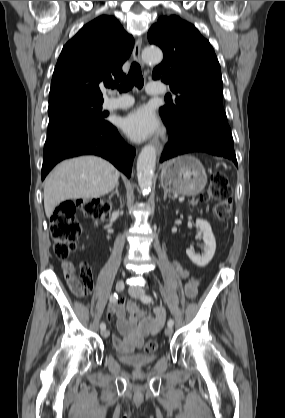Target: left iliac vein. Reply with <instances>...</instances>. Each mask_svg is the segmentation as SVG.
<instances>
[{"instance_id": "1", "label": "left iliac vein", "mask_w": 285, "mask_h": 418, "mask_svg": "<svg viewBox=\"0 0 285 418\" xmlns=\"http://www.w3.org/2000/svg\"><path fill=\"white\" fill-rule=\"evenodd\" d=\"M129 294H130L132 297H134V298H141V297H143V296L145 295V291H144V289H143L142 287H140V286H131V287L129 288ZM172 333H173V328H172V326H168V327L165 329V335H166V336H171V335H172Z\"/></svg>"}]
</instances>
